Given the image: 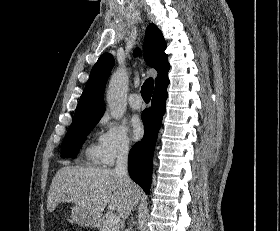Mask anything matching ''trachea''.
<instances>
[{
    "label": "trachea",
    "instance_id": "1",
    "mask_svg": "<svg viewBox=\"0 0 280 231\" xmlns=\"http://www.w3.org/2000/svg\"><path fill=\"white\" fill-rule=\"evenodd\" d=\"M154 89V81L152 78L147 79L141 87V96L143 100L148 103L151 99Z\"/></svg>",
    "mask_w": 280,
    "mask_h": 231
}]
</instances>
